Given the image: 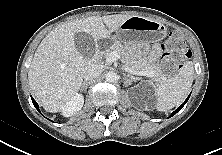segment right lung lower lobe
Masks as SVG:
<instances>
[{
    "label": "right lung lower lobe",
    "instance_id": "right-lung-lower-lobe-1",
    "mask_svg": "<svg viewBox=\"0 0 222 155\" xmlns=\"http://www.w3.org/2000/svg\"><path fill=\"white\" fill-rule=\"evenodd\" d=\"M31 98H32V97H31ZM32 102H33L35 108L40 112L39 106H38V104L36 103V101H35L33 98H32Z\"/></svg>",
    "mask_w": 222,
    "mask_h": 155
}]
</instances>
